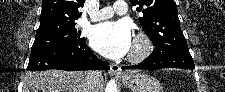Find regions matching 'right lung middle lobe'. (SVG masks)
<instances>
[{
  "instance_id": "1",
  "label": "right lung middle lobe",
  "mask_w": 225,
  "mask_h": 92,
  "mask_svg": "<svg viewBox=\"0 0 225 92\" xmlns=\"http://www.w3.org/2000/svg\"><path fill=\"white\" fill-rule=\"evenodd\" d=\"M75 25V22H50L40 24L31 51L79 43L84 40V38H80V31H77Z\"/></svg>"
}]
</instances>
